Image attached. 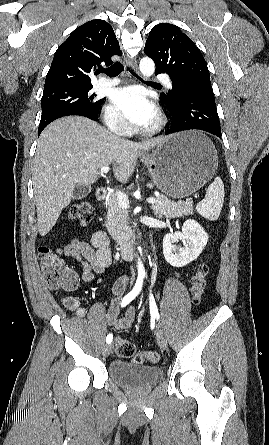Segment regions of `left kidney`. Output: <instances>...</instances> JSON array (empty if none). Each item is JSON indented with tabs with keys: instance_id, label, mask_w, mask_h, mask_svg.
<instances>
[{
	"instance_id": "left-kidney-1",
	"label": "left kidney",
	"mask_w": 269,
	"mask_h": 445,
	"mask_svg": "<svg viewBox=\"0 0 269 445\" xmlns=\"http://www.w3.org/2000/svg\"><path fill=\"white\" fill-rule=\"evenodd\" d=\"M181 241L183 246H176ZM208 242V234L195 220H187L182 232L167 234L163 239L165 260L174 267H183L197 259Z\"/></svg>"
}]
</instances>
